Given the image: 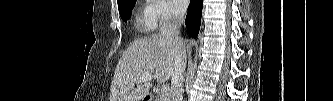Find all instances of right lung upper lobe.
<instances>
[{
    "label": "right lung upper lobe",
    "mask_w": 333,
    "mask_h": 101,
    "mask_svg": "<svg viewBox=\"0 0 333 101\" xmlns=\"http://www.w3.org/2000/svg\"><path fill=\"white\" fill-rule=\"evenodd\" d=\"M123 0H117V2H118V4L120 3V2H122Z\"/></svg>",
    "instance_id": "cb5924a9"
}]
</instances>
